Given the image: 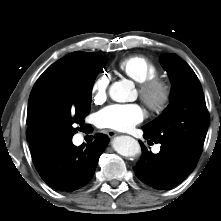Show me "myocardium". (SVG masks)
I'll return each instance as SVG.
<instances>
[{"label": "myocardium", "instance_id": "1", "mask_svg": "<svg viewBox=\"0 0 221 221\" xmlns=\"http://www.w3.org/2000/svg\"><path fill=\"white\" fill-rule=\"evenodd\" d=\"M139 93L144 104L153 113H162L171 100L170 85L157 76L140 83Z\"/></svg>", "mask_w": 221, "mask_h": 221}]
</instances>
